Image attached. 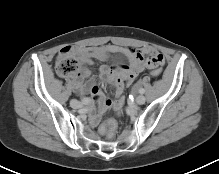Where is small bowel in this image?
<instances>
[{
  "label": "small bowel",
  "instance_id": "small-bowel-1",
  "mask_svg": "<svg viewBox=\"0 0 219 174\" xmlns=\"http://www.w3.org/2000/svg\"><path fill=\"white\" fill-rule=\"evenodd\" d=\"M68 51L69 53L76 55L80 62L78 73L70 79L75 90L79 94L90 93L92 100L99 103L98 111L91 115V122L93 125L98 124L100 117L111 103L106 100L100 88L93 80L83 82L84 79L90 75V71L86 67L87 64H91L95 59L106 61L112 54L122 55L128 60V65H103L100 67V78L105 82L113 83L117 86L114 90V108L117 114H122L124 112V104L126 101V95L124 94L125 87L130 86L145 67L152 71V69L158 65L164 64L163 55L147 47L135 49L131 47H120L114 44H106L97 47L71 48Z\"/></svg>",
  "mask_w": 219,
  "mask_h": 174
}]
</instances>
